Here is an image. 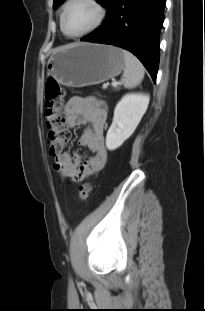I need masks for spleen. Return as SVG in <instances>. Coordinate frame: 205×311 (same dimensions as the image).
Returning a JSON list of instances; mask_svg holds the SVG:
<instances>
[{"label":"spleen","instance_id":"3e777b00","mask_svg":"<svg viewBox=\"0 0 205 311\" xmlns=\"http://www.w3.org/2000/svg\"><path fill=\"white\" fill-rule=\"evenodd\" d=\"M125 68L123 73L124 87L132 88L142 81L144 67L137 57L129 51L123 50Z\"/></svg>","mask_w":205,"mask_h":311}]
</instances>
